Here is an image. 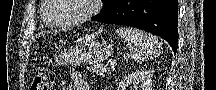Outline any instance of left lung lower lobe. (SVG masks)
Wrapping results in <instances>:
<instances>
[{"instance_id": "obj_1", "label": "left lung lower lobe", "mask_w": 216, "mask_h": 90, "mask_svg": "<svg viewBox=\"0 0 216 90\" xmlns=\"http://www.w3.org/2000/svg\"><path fill=\"white\" fill-rule=\"evenodd\" d=\"M177 0H120L91 20L136 27L165 39L174 53L178 47Z\"/></svg>"}]
</instances>
